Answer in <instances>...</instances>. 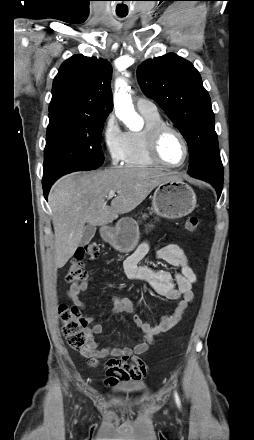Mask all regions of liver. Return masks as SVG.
I'll use <instances>...</instances> for the list:
<instances>
[{"mask_svg": "<svg viewBox=\"0 0 254 440\" xmlns=\"http://www.w3.org/2000/svg\"><path fill=\"white\" fill-rule=\"evenodd\" d=\"M177 179L151 168L76 172L58 179L48 203L55 235V265L62 268L80 245L85 224L101 226L140 205L160 183ZM110 191L117 196L107 205Z\"/></svg>", "mask_w": 254, "mask_h": 440, "instance_id": "liver-1", "label": "liver"}]
</instances>
